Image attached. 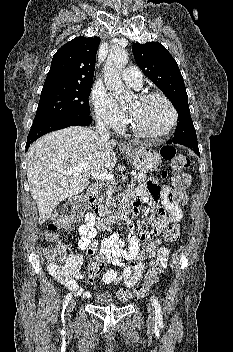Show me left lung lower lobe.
Here are the masks:
<instances>
[{
	"instance_id": "obj_1",
	"label": "left lung lower lobe",
	"mask_w": 233,
	"mask_h": 352,
	"mask_svg": "<svg viewBox=\"0 0 233 352\" xmlns=\"http://www.w3.org/2000/svg\"><path fill=\"white\" fill-rule=\"evenodd\" d=\"M167 143H176V142H174L173 140H169V141H167ZM178 144H181V145H184V146L189 147V148L192 149L198 156H200L197 140H195V141H182V142H179Z\"/></svg>"
}]
</instances>
